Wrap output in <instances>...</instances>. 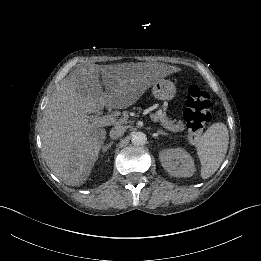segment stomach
Wrapping results in <instances>:
<instances>
[{
	"label": "stomach",
	"mask_w": 261,
	"mask_h": 261,
	"mask_svg": "<svg viewBox=\"0 0 261 261\" xmlns=\"http://www.w3.org/2000/svg\"><path fill=\"white\" fill-rule=\"evenodd\" d=\"M152 93L157 99L170 100L176 93V87L174 83L169 80H160L153 85Z\"/></svg>",
	"instance_id": "obj_1"
}]
</instances>
